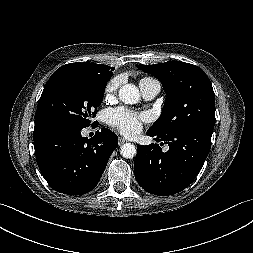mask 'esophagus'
I'll return each mask as SVG.
<instances>
[{
	"label": "esophagus",
	"instance_id": "esophagus-1",
	"mask_svg": "<svg viewBox=\"0 0 253 253\" xmlns=\"http://www.w3.org/2000/svg\"><path fill=\"white\" fill-rule=\"evenodd\" d=\"M125 142H127L126 139H124V138H122V137H119V139H118L119 145H122V144H124Z\"/></svg>",
	"mask_w": 253,
	"mask_h": 253
}]
</instances>
